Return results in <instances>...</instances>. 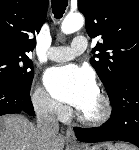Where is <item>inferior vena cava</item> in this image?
<instances>
[{
  "label": "inferior vena cava",
  "mask_w": 139,
  "mask_h": 150,
  "mask_svg": "<svg viewBox=\"0 0 139 150\" xmlns=\"http://www.w3.org/2000/svg\"><path fill=\"white\" fill-rule=\"evenodd\" d=\"M57 104L48 97L40 100V107L37 110V129L43 141L50 143L59 131V124L55 117Z\"/></svg>",
  "instance_id": "602c4592"
}]
</instances>
